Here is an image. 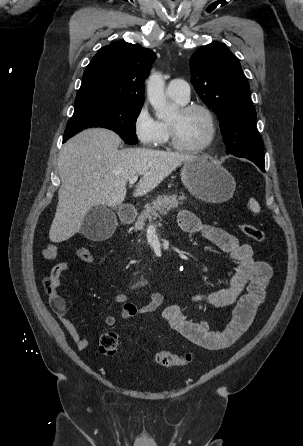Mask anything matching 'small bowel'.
<instances>
[{
	"label": "small bowel",
	"instance_id": "c3829d8e",
	"mask_svg": "<svg viewBox=\"0 0 303 446\" xmlns=\"http://www.w3.org/2000/svg\"><path fill=\"white\" fill-rule=\"evenodd\" d=\"M178 223L184 232L199 235L215 244L231 258L233 267V274L227 287L207 294L191 295L188 299L215 309L233 306V313L230 323L221 331L212 330L206 323L189 317L185 309L177 304L168 306L163 312V318L173 330L200 347L209 350L229 348L251 325L257 308L264 301L266 288L272 277V268L267 262L255 259L249 244L239 242L236 236L220 227L201 221L188 210L179 212ZM42 256L47 260H54L57 256L56 245L47 244L42 250ZM70 267L68 262L53 266L48 277L53 290L49 298L61 324L78 349L84 350L88 347L89 341L67 317L66 303L57 293L60 276ZM113 300L122 305L121 317L131 319L156 311L163 303L164 297L159 292H152L148 303L142 306L130 301L124 293H117ZM104 323L107 327H111L116 323V317L108 315Z\"/></svg>",
	"mask_w": 303,
	"mask_h": 446
}]
</instances>
